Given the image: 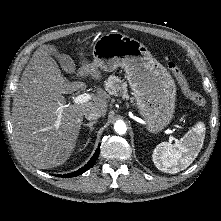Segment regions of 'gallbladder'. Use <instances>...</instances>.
I'll use <instances>...</instances> for the list:
<instances>
[{"label": "gallbladder", "instance_id": "1", "mask_svg": "<svg viewBox=\"0 0 221 221\" xmlns=\"http://www.w3.org/2000/svg\"><path fill=\"white\" fill-rule=\"evenodd\" d=\"M33 66L36 68V73L46 79L51 86H58V90L62 93L69 92V84L65 80L63 81V75L49 55L38 54L33 59Z\"/></svg>", "mask_w": 221, "mask_h": 221}]
</instances>
